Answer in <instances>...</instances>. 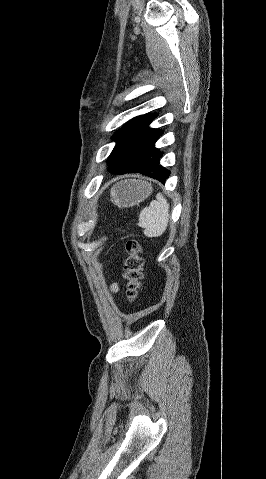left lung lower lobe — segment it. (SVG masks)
<instances>
[{"label": "left lung lower lobe", "mask_w": 266, "mask_h": 479, "mask_svg": "<svg viewBox=\"0 0 266 479\" xmlns=\"http://www.w3.org/2000/svg\"><path fill=\"white\" fill-rule=\"evenodd\" d=\"M162 152H159L154 159H148L141 163L139 166L131 167L123 170H116L112 174H125V173H141L148 177L154 178L162 183H165L169 177V170L160 165V158Z\"/></svg>", "instance_id": "1"}]
</instances>
